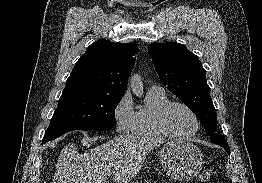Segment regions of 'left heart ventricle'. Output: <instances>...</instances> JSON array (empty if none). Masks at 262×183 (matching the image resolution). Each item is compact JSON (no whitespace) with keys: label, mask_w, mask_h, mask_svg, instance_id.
Masks as SVG:
<instances>
[{"label":"left heart ventricle","mask_w":262,"mask_h":183,"mask_svg":"<svg viewBox=\"0 0 262 183\" xmlns=\"http://www.w3.org/2000/svg\"><path fill=\"white\" fill-rule=\"evenodd\" d=\"M168 123L175 132L181 134L190 133L196 127L194 117L182 107L172 109L168 117Z\"/></svg>","instance_id":"obj_1"}]
</instances>
